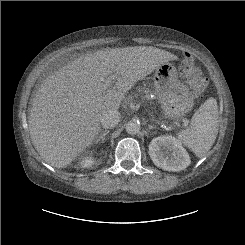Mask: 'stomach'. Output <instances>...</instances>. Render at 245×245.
<instances>
[{
	"instance_id": "1",
	"label": "stomach",
	"mask_w": 245,
	"mask_h": 245,
	"mask_svg": "<svg viewBox=\"0 0 245 245\" xmlns=\"http://www.w3.org/2000/svg\"><path fill=\"white\" fill-rule=\"evenodd\" d=\"M153 82L165 119L176 120L192 110L194 99L188 87L179 80L178 71L174 65L166 62L157 67Z\"/></svg>"
}]
</instances>
